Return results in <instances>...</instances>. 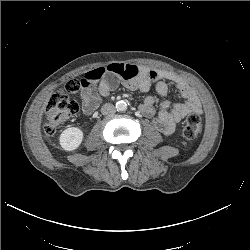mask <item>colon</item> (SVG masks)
<instances>
[{
  "instance_id": "1",
  "label": "colon",
  "mask_w": 250,
  "mask_h": 250,
  "mask_svg": "<svg viewBox=\"0 0 250 250\" xmlns=\"http://www.w3.org/2000/svg\"><path fill=\"white\" fill-rule=\"evenodd\" d=\"M80 87V81L70 80L50 97L45 108L47 121L44 125V132L46 135H53L61 123L79 111L78 103L70 96L77 93ZM202 132L203 125L200 117L194 113L190 114L184 121L183 135L187 139H195Z\"/></svg>"
}]
</instances>
